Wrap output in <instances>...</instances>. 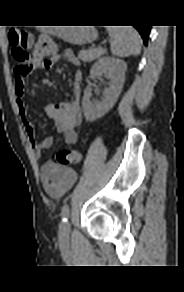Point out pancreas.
Wrapping results in <instances>:
<instances>
[{"instance_id":"pancreas-1","label":"pancreas","mask_w":184,"mask_h":292,"mask_svg":"<svg viewBox=\"0 0 184 292\" xmlns=\"http://www.w3.org/2000/svg\"><path fill=\"white\" fill-rule=\"evenodd\" d=\"M105 53V50L100 51L99 48H90L88 50H81L78 53V59L82 60L83 62H90Z\"/></svg>"}]
</instances>
